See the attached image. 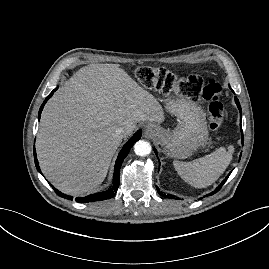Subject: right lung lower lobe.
Returning <instances> with one entry per match:
<instances>
[{
  "label": "right lung lower lobe",
  "instance_id": "obj_1",
  "mask_svg": "<svg viewBox=\"0 0 269 269\" xmlns=\"http://www.w3.org/2000/svg\"><path fill=\"white\" fill-rule=\"evenodd\" d=\"M57 89H58V87L55 88L50 93V95L45 99V101L41 105L40 110H39V119H40L41 112L43 110L44 105L46 104L47 100L50 99V97L53 95V93ZM141 134H142L141 130H138L134 134V136L124 145V147L120 151V153L118 155V158L116 160V163H115V170H114V177H113V186L111 188H109L108 190L103 191V192L91 194V195H88V196H85V197H77V198H75V200L77 202H80V203H88V202H94V201H101V200L112 198L115 195V193L117 192L118 187H119V172H120V167L122 165V162L125 159V157L128 155V153H129L131 147L133 146V144L140 139ZM34 160H35V165H36L37 170L41 173L40 168H39V165H38V160H37V157H36L35 147H34ZM55 191H56V194L58 196H60V197L67 198L69 200H72L73 199L72 196L65 195V194L61 193L60 191H58L57 189H55Z\"/></svg>",
  "mask_w": 269,
  "mask_h": 269
}]
</instances>
